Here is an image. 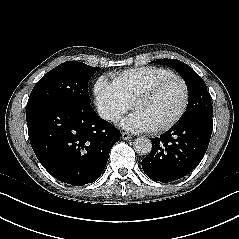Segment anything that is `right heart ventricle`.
<instances>
[{
  "label": "right heart ventricle",
  "instance_id": "obj_1",
  "mask_svg": "<svg viewBox=\"0 0 239 239\" xmlns=\"http://www.w3.org/2000/svg\"><path fill=\"white\" fill-rule=\"evenodd\" d=\"M169 72L171 70L156 65L130 68L117 74H111L112 84L121 96L131 103L132 98L140 89Z\"/></svg>",
  "mask_w": 239,
  "mask_h": 239
}]
</instances>
